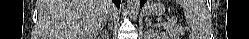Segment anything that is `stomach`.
<instances>
[{"instance_id": "stomach-1", "label": "stomach", "mask_w": 249, "mask_h": 39, "mask_svg": "<svg viewBox=\"0 0 249 39\" xmlns=\"http://www.w3.org/2000/svg\"><path fill=\"white\" fill-rule=\"evenodd\" d=\"M148 10L153 14L161 15L164 12V7L161 3H155L153 5H149Z\"/></svg>"}]
</instances>
